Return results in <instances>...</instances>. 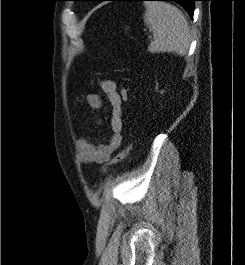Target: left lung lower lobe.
Instances as JSON below:
<instances>
[{
	"label": "left lung lower lobe",
	"mask_w": 245,
	"mask_h": 265,
	"mask_svg": "<svg viewBox=\"0 0 245 265\" xmlns=\"http://www.w3.org/2000/svg\"><path fill=\"white\" fill-rule=\"evenodd\" d=\"M89 1H108V0H89ZM109 1H147V0H109ZM160 1H175L182 5L189 15L193 17V12H194V1L198 0H160Z\"/></svg>",
	"instance_id": "1"
}]
</instances>
